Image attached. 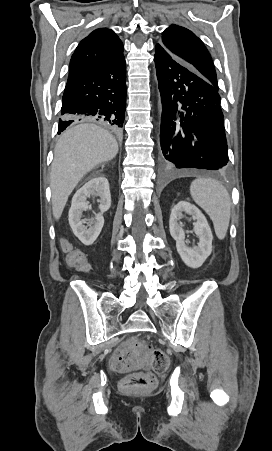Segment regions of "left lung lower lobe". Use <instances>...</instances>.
I'll return each instance as SVG.
<instances>
[{
    "label": "left lung lower lobe",
    "instance_id": "1",
    "mask_svg": "<svg viewBox=\"0 0 272 451\" xmlns=\"http://www.w3.org/2000/svg\"><path fill=\"white\" fill-rule=\"evenodd\" d=\"M154 61L163 106V166L225 170L227 141L218 89L161 43Z\"/></svg>",
    "mask_w": 272,
    "mask_h": 451
}]
</instances>
